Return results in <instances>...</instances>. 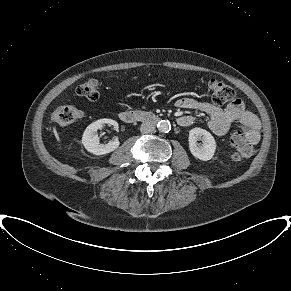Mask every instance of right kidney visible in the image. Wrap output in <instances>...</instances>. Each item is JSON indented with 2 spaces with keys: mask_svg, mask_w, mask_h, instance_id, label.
<instances>
[{
  "mask_svg": "<svg viewBox=\"0 0 291 291\" xmlns=\"http://www.w3.org/2000/svg\"><path fill=\"white\" fill-rule=\"evenodd\" d=\"M104 124L113 125L114 128L118 130V123L116 121L112 119H100L91 123L83 133L82 144L88 152L94 155L108 154L117 149L120 145L117 138L107 144L100 143L97 130L102 129Z\"/></svg>",
  "mask_w": 291,
  "mask_h": 291,
  "instance_id": "right-kidney-1",
  "label": "right kidney"
}]
</instances>
